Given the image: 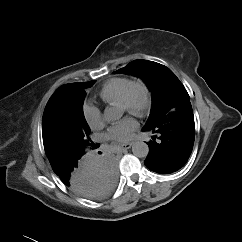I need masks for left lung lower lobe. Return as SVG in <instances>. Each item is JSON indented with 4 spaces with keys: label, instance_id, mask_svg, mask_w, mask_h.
Returning a JSON list of instances; mask_svg holds the SVG:
<instances>
[{
    "label": "left lung lower lobe",
    "instance_id": "0a47b994",
    "mask_svg": "<svg viewBox=\"0 0 242 242\" xmlns=\"http://www.w3.org/2000/svg\"><path fill=\"white\" fill-rule=\"evenodd\" d=\"M142 130L157 133L159 139L149 142L150 151L144 161L147 168L159 174L178 171L186 164L194 144L195 124L190 101L176 105Z\"/></svg>",
    "mask_w": 242,
    "mask_h": 242
}]
</instances>
